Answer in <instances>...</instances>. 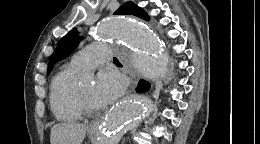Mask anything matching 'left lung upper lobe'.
Returning a JSON list of instances; mask_svg holds the SVG:
<instances>
[{
  "instance_id": "1",
  "label": "left lung upper lobe",
  "mask_w": 260,
  "mask_h": 144,
  "mask_svg": "<svg viewBox=\"0 0 260 144\" xmlns=\"http://www.w3.org/2000/svg\"><path fill=\"white\" fill-rule=\"evenodd\" d=\"M115 14L134 15L142 19L149 20L147 13L133 2L129 1L121 5V7L115 12ZM79 43V37L77 30L73 29L64 37H62L57 44V47L49 59L47 73H50L55 62L60 61L70 55V53L77 47Z\"/></svg>"
}]
</instances>
